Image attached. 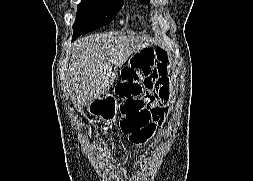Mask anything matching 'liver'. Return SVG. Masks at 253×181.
<instances>
[{
  "mask_svg": "<svg viewBox=\"0 0 253 181\" xmlns=\"http://www.w3.org/2000/svg\"><path fill=\"white\" fill-rule=\"evenodd\" d=\"M150 45V40L129 35L95 34L74 43L69 64V85L77 103L88 106L115 81L112 66L122 67L128 58Z\"/></svg>",
  "mask_w": 253,
  "mask_h": 181,
  "instance_id": "6515ba94",
  "label": "liver"
}]
</instances>
